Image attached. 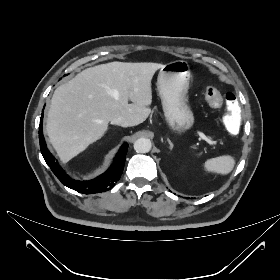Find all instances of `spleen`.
<instances>
[{
    "mask_svg": "<svg viewBox=\"0 0 280 280\" xmlns=\"http://www.w3.org/2000/svg\"><path fill=\"white\" fill-rule=\"evenodd\" d=\"M235 165V159L229 155H223L216 158L209 159L205 162V168L209 172L227 175Z\"/></svg>",
    "mask_w": 280,
    "mask_h": 280,
    "instance_id": "obj_1",
    "label": "spleen"
}]
</instances>
